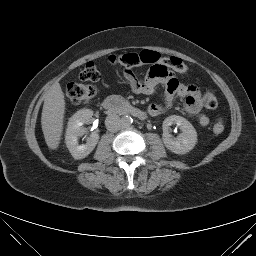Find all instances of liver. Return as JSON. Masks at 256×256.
Wrapping results in <instances>:
<instances>
[{"instance_id":"obj_1","label":"liver","mask_w":256,"mask_h":256,"mask_svg":"<svg viewBox=\"0 0 256 256\" xmlns=\"http://www.w3.org/2000/svg\"><path fill=\"white\" fill-rule=\"evenodd\" d=\"M65 114V98L61 86L54 83L44 100L41 125L47 146L56 150L61 141L63 119Z\"/></svg>"}]
</instances>
